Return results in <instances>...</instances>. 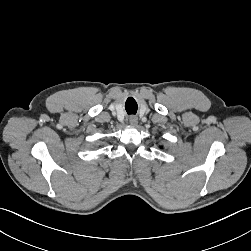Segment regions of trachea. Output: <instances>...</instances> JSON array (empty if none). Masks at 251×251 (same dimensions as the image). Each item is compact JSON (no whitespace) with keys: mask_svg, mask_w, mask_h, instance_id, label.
Masks as SVG:
<instances>
[{"mask_svg":"<svg viewBox=\"0 0 251 251\" xmlns=\"http://www.w3.org/2000/svg\"><path fill=\"white\" fill-rule=\"evenodd\" d=\"M126 110H127L128 114H136L137 108L136 107H130V108H127Z\"/></svg>","mask_w":251,"mask_h":251,"instance_id":"1","label":"trachea"}]
</instances>
